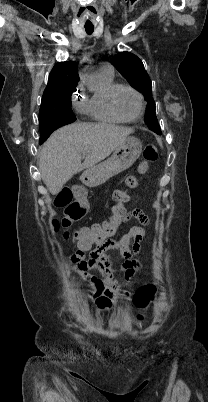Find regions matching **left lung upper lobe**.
Segmentation results:
<instances>
[{
    "mask_svg": "<svg viewBox=\"0 0 208 402\" xmlns=\"http://www.w3.org/2000/svg\"><path fill=\"white\" fill-rule=\"evenodd\" d=\"M111 64L132 86L143 93L148 102L146 117L148 128L157 134H161V129L155 113V102L152 98L151 80L142 61L130 52H120L111 59Z\"/></svg>",
    "mask_w": 208,
    "mask_h": 402,
    "instance_id": "1",
    "label": "left lung upper lobe"
}]
</instances>
